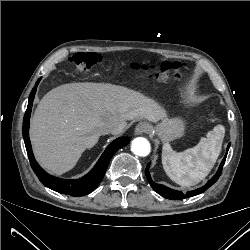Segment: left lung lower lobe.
<instances>
[{
  "mask_svg": "<svg viewBox=\"0 0 250 250\" xmlns=\"http://www.w3.org/2000/svg\"><path fill=\"white\" fill-rule=\"evenodd\" d=\"M230 144H228L227 146V152L226 155L224 157V159L222 160L217 173L201 188L192 190L187 192L186 194L182 193L181 191H176V190H172L164 185L161 184H157L155 182H153V180L151 179L150 173H149V165H147L146 170H145V175L148 179L149 184L151 185V187L160 195H162L163 197L167 198V199H171V200H179V199H184V198H189L195 195H198L200 193H203L204 191H206L211 185H213L219 178L222 169H223V165L225 163L226 160V156L229 150Z\"/></svg>",
  "mask_w": 250,
  "mask_h": 250,
  "instance_id": "1",
  "label": "left lung lower lobe"
}]
</instances>
